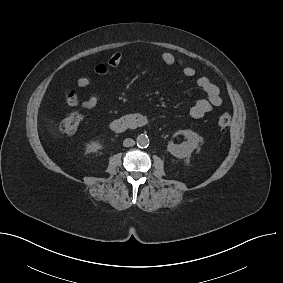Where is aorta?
Listing matches in <instances>:
<instances>
[{
	"mask_svg": "<svg viewBox=\"0 0 283 283\" xmlns=\"http://www.w3.org/2000/svg\"><path fill=\"white\" fill-rule=\"evenodd\" d=\"M136 142H137L138 147H141V148H146L149 146V138L145 134L138 135Z\"/></svg>",
	"mask_w": 283,
	"mask_h": 283,
	"instance_id": "1",
	"label": "aorta"
}]
</instances>
